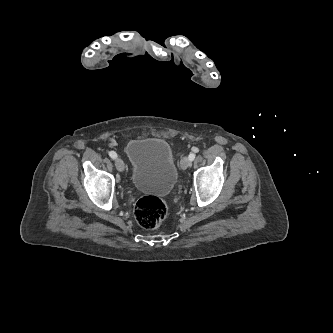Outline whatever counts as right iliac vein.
I'll use <instances>...</instances> for the list:
<instances>
[{
    "label": "right iliac vein",
    "mask_w": 333,
    "mask_h": 333,
    "mask_svg": "<svg viewBox=\"0 0 333 333\" xmlns=\"http://www.w3.org/2000/svg\"><path fill=\"white\" fill-rule=\"evenodd\" d=\"M115 167L118 171L123 172L124 171V162L120 158L115 159Z\"/></svg>",
    "instance_id": "1"
}]
</instances>
